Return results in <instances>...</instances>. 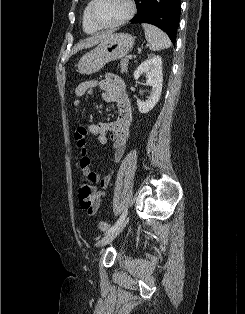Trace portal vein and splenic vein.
Listing matches in <instances>:
<instances>
[{
	"mask_svg": "<svg viewBox=\"0 0 245 314\" xmlns=\"http://www.w3.org/2000/svg\"><path fill=\"white\" fill-rule=\"evenodd\" d=\"M132 57H133L132 54L128 55V59H132Z\"/></svg>",
	"mask_w": 245,
	"mask_h": 314,
	"instance_id": "portal-vein-and-splenic-vein-1",
	"label": "portal vein and splenic vein"
}]
</instances>
